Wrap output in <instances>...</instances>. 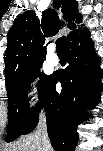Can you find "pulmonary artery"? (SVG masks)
Here are the masks:
<instances>
[{
  "mask_svg": "<svg viewBox=\"0 0 103 151\" xmlns=\"http://www.w3.org/2000/svg\"><path fill=\"white\" fill-rule=\"evenodd\" d=\"M47 60L50 65L55 66L58 64L59 59H58L57 55L54 53V46L49 47V54L47 56Z\"/></svg>",
  "mask_w": 103,
  "mask_h": 151,
  "instance_id": "e3ab8cb5",
  "label": "pulmonary artery"
}]
</instances>
